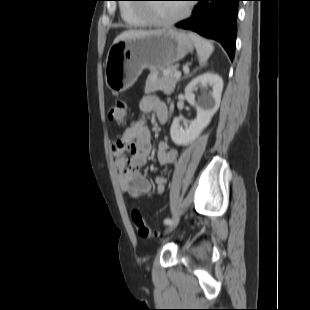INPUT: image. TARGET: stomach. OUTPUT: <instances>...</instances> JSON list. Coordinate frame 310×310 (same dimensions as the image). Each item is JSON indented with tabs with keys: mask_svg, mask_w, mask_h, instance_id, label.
Returning a JSON list of instances; mask_svg holds the SVG:
<instances>
[{
	"mask_svg": "<svg viewBox=\"0 0 310 310\" xmlns=\"http://www.w3.org/2000/svg\"><path fill=\"white\" fill-rule=\"evenodd\" d=\"M189 35L174 29L114 43L105 61V81L109 89L120 93L130 88L143 69L152 71L172 66L193 51Z\"/></svg>",
	"mask_w": 310,
	"mask_h": 310,
	"instance_id": "1",
	"label": "stomach"
}]
</instances>
